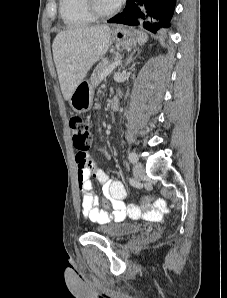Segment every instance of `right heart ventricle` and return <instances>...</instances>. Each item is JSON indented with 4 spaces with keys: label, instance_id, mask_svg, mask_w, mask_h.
Instances as JSON below:
<instances>
[{
    "label": "right heart ventricle",
    "instance_id": "e07e8e85",
    "mask_svg": "<svg viewBox=\"0 0 227 298\" xmlns=\"http://www.w3.org/2000/svg\"><path fill=\"white\" fill-rule=\"evenodd\" d=\"M59 11L63 22L69 27H84L94 22L85 0H60Z\"/></svg>",
    "mask_w": 227,
    "mask_h": 298
}]
</instances>
